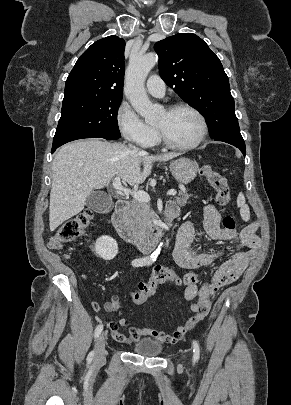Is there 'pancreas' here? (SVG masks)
<instances>
[{"label": "pancreas", "instance_id": "obj_1", "mask_svg": "<svg viewBox=\"0 0 291 405\" xmlns=\"http://www.w3.org/2000/svg\"><path fill=\"white\" fill-rule=\"evenodd\" d=\"M191 196V194L181 190L179 191L178 196L175 197V201L180 207H184ZM154 218L155 213L151 209L148 202H141L138 200L132 201V209L129 214V220L136 233L140 235L146 234V232L152 228V220Z\"/></svg>", "mask_w": 291, "mask_h": 405}]
</instances>
